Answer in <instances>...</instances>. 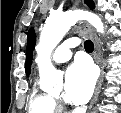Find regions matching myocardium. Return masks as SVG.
I'll list each match as a JSON object with an SVG mask.
<instances>
[{"instance_id": "myocardium-1", "label": "myocardium", "mask_w": 121, "mask_h": 113, "mask_svg": "<svg viewBox=\"0 0 121 113\" xmlns=\"http://www.w3.org/2000/svg\"><path fill=\"white\" fill-rule=\"evenodd\" d=\"M52 101H53V103L57 104L58 106H62L63 105V103H62V101L60 100L59 97L52 96Z\"/></svg>"}]
</instances>
